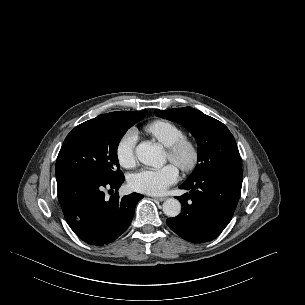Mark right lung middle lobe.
<instances>
[{"label": "right lung middle lobe", "mask_w": 305, "mask_h": 305, "mask_svg": "<svg viewBox=\"0 0 305 305\" xmlns=\"http://www.w3.org/2000/svg\"><path fill=\"white\" fill-rule=\"evenodd\" d=\"M146 114V110L135 111L130 117L103 114L76 126L58 154L56 177L73 174L106 182L123 176L118 144L125 132Z\"/></svg>", "instance_id": "dd1d6c3e"}]
</instances>
